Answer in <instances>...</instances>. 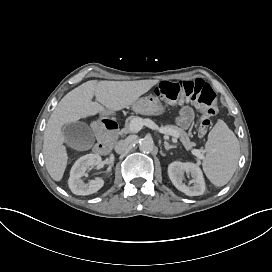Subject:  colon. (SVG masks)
<instances>
[{"instance_id":"obj_1","label":"colon","mask_w":272,"mask_h":272,"mask_svg":"<svg viewBox=\"0 0 272 272\" xmlns=\"http://www.w3.org/2000/svg\"><path fill=\"white\" fill-rule=\"evenodd\" d=\"M157 90H159L157 92ZM159 98L176 103L190 102L196 106H203L200 111L199 132L205 134L211 126L212 118L217 115V95L210 84L203 79L178 82H162L155 90Z\"/></svg>"}]
</instances>
